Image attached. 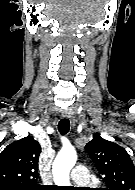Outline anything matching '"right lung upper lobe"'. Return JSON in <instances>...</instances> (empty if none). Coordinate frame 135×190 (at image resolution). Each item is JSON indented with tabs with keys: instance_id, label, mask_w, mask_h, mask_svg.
<instances>
[{
	"instance_id": "obj_1",
	"label": "right lung upper lobe",
	"mask_w": 135,
	"mask_h": 190,
	"mask_svg": "<svg viewBox=\"0 0 135 190\" xmlns=\"http://www.w3.org/2000/svg\"><path fill=\"white\" fill-rule=\"evenodd\" d=\"M40 144L31 136L9 144L0 154V188L37 190Z\"/></svg>"
}]
</instances>
